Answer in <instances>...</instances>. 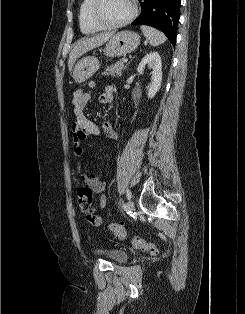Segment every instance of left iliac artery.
<instances>
[{
    "mask_svg": "<svg viewBox=\"0 0 245 314\" xmlns=\"http://www.w3.org/2000/svg\"><path fill=\"white\" fill-rule=\"evenodd\" d=\"M126 195H127V198L130 199L131 198V192L129 189L126 190ZM123 207H125V204L123 203Z\"/></svg>",
    "mask_w": 245,
    "mask_h": 314,
    "instance_id": "1",
    "label": "left iliac artery"
}]
</instances>
